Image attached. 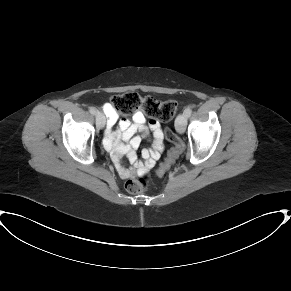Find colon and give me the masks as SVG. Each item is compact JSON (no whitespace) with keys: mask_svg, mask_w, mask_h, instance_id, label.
<instances>
[{"mask_svg":"<svg viewBox=\"0 0 291 291\" xmlns=\"http://www.w3.org/2000/svg\"><path fill=\"white\" fill-rule=\"evenodd\" d=\"M111 105L117 111L129 112L138 110L153 120L167 122L171 120L177 111L178 103L173 100L159 101L153 96L141 97L136 92H125L114 95L111 99ZM165 136L170 141H176L177 136L171 129L165 130ZM169 169V164L163 162L157 168V174L163 175ZM149 180L146 177L128 180L125 188L129 193L139 194L147 190Z\"/></svg>","mask_w":291,"mask_h":291,"instance_id":"1","label":"colon"}]
</instances>
